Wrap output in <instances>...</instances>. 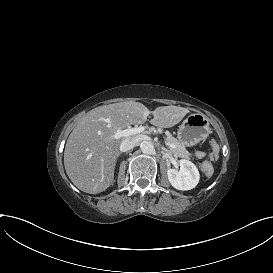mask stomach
<instances>
[{
	"label": "stomach",
	"instance_id": "obj_1",
	"mask_svg": "<svg viewBox=\"0 0 273 273\" xmlns=\"http://www.w3.org/2000/svg\"><path fill=\"white\" fill-rule=\"evenodd\" d=\"M210 133L209 119L201 113L190 114L179 126L177 138L183 146H194Z\"/></svg>",
	"mask_w": 273,
	"mask_h": 273
}]
</instances>
